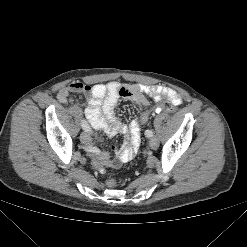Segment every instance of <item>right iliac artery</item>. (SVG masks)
Wrapping results in <instances>:
<instances>
[{"label":"right iliac artery","instance_id":"obj_1","mask_svg":"<svg viewBox=\"0 0 247 247\" xmlns=\"http://www.w3.org/2000/svg\"><path fill=\"white\" fill-rule=\"evenodd\" d=\"M81 126L82 128L87 131V132H91V128L89 126V124L85 121V120H82L81 121Z\"/></svg>","mask_w":247,"mask_h":247}]
</instances>
